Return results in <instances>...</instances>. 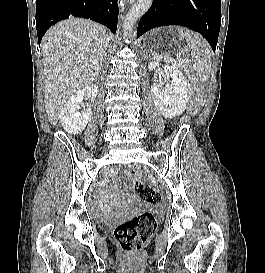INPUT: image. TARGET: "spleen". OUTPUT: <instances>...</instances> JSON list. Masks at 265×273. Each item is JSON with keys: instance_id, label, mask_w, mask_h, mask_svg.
<instances>
[{"instance_id": "obj_1", "label": "spleen", "mask_w": 265, "mask_h": 273, "mask_svg": "<svg viewBox=\"0 0 265 273\" xmlns=\"http://www.w3.org/2000/svg\"><path fill=\"white\" fill-rule=\"evenodd\" d=\"M180 37L185 38L187 46L191 51L193 68L201 82H207L211 68V51L208 43L197 33L185 29L178 28Z\"/></svg>"}]
</instances>
